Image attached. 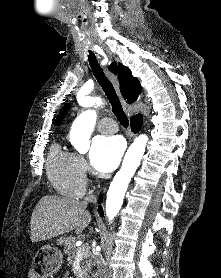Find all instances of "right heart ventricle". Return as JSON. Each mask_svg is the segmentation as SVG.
Returning a JSON list of instances; mask_svg holds the SVG:
<instances>
[{
  "mask_svg": "<svg viewBox=\"0 0 221 278\" xmlns=\"http://www.w3.org/2000/svg\"><path fill=\"white\" fill-rule=\"evenodd\" d=\"M48 177L61 195L79 198L86 189V179L78 168L76 154L63 149L60 145L52 146L47 160Z\"/></svg>",
  "mask_w": 221,
  "mask_h": 278,
  "instance_id": "e07e8e85",
  "label": "right heart ventricle"
}]
</instances>
